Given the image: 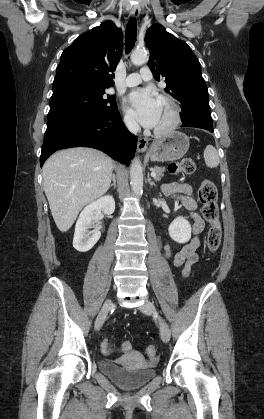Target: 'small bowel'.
Segmentation results:
<instances>
[{"instance_id": "1", "label": "small bowel", "mask_w": 264, "mask_h": 419, "mask_svg": "<svg viewBox=\"0 0 264 419\" xmlns=\"http://www.w3.org/2000/svg\"><path fill=\"white\" fill-rule=\"evenodd\" d=\"M163 191L166 195L177 198L182 205L189 212L191 218L193 219L192 233L193 237L189 242L184 244L182 248L177 252L173 253L170 245H165V254L167 258L171 259L173 265L177 268H182L181 273L183 276H187L193 265H195L199 260V254L197 249L200 246L199 234L204 228V221L196 212L197 203L192 194V188L189 184L186 183H169L163 186ZM130 343L128 341L123 342ZM129 349H125L121 346L120 351L123 353H129ZM105 354H111L115 352V349L112 347L110 350H102Z\"/></svg>"}]
</instances>
